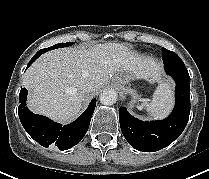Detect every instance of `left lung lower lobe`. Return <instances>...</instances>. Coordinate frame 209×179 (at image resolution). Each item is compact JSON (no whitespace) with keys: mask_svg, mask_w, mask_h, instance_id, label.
Masks as SVG:
<instances>
[{"mask_svg":"<svg viewBox=\"0 0 209 179\" xmlns=\"http://www.w3.org/2000/svg\"><path fill=\"white\" fill-rule=\"evenodd\" d=\"M165 72L175 83L176 103L172 113L159 121H141L125 108L119 110L121 131L133 148L143 152L158 151L176 140L185 129L190 114V76L183 63L165 65Z\"/></svg>","mask_w":209,"mask_h":179,"instance_id":"obj_1","label":"left lung lower lobe"}]
</instances>
